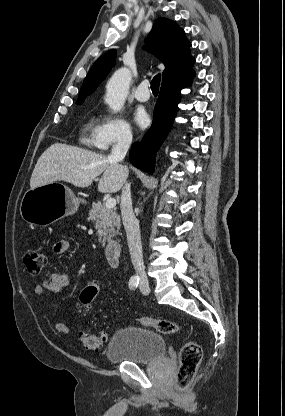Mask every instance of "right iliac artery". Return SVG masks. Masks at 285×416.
Wrapping results in <instances>:
<instances>
[{
    "label": "right iliac artery",
    "instance_id": "right-iliac-artery-1",
    "mask_svg": "<svg viewBox=\"0 0 285 416\" xmlns=\"http://www.w3.org/2000/svg\"><path fill=\"white\" fill-rule=\"evenodd\" d=\"M140 278L138 275H133L129 280L130 289H135L139 285Z\"/></svg>",
    "mask_w": 285,
    "mask_h": 416
}]
</instances>
